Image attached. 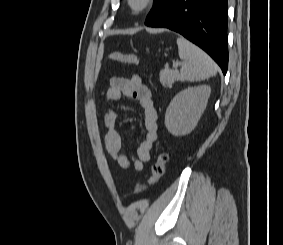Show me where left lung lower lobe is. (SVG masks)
<instances>
[{"mask_svg": "<svg viewBox=\"0 0 283 245\" xmlns=\"http://www.w3.org/2000/svg\"><path fill=\"white\" fill-rule=\"evenodd\" d=\"M227 0H173L146 25L176 31L207 52L227 72Z\"/></svg>", "mask_w": 283, "mask_h": 245, "instance_id": "left-lung-lower-lobe-1", "label": "left lung lower lobe"}]
</instances>
